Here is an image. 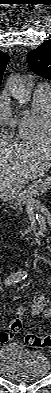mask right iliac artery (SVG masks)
<instances>
[{"label":"right iliac artery","instance_id":"obj_1","mask_svg":"<svg viewBox=\"0 0 51 393\" xmlns=\"http://www.w3.org/2000/svg\"><path fill=\"white\" fill-rule=\"evenodd\" d=\"M27 277V273L25 271H19L16 273L11 274L9 277L6 278L5 284L10 285L21 281Z\"/></svg>","mask_w":51,"mask_h":393}]
</instances>
